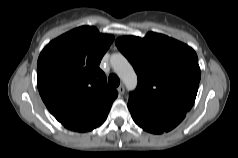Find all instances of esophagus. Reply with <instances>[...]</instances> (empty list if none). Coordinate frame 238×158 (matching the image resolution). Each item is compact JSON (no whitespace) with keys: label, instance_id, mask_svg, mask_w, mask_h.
<instances>
[{"label":"esophagus","instance_id":"34e87169","mask_svg":"<svg viewBox=\"0 0 238 158\" xmlns=\"http://www.w3.org/2000/svg\"><path fill=\"white\" fill-rule=\"evenodd\" d=\"M117 90H118L119 94H121V95L124 94V92H125L124 85H120Z\"/></svg>","mask_w":238,"mask_h":158}]
</instances>
